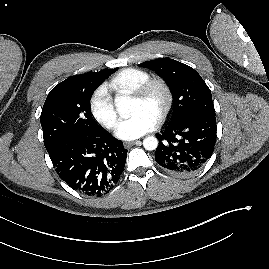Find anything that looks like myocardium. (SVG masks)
Instances as JSON below:
<instances>
[{"label": "myocardium", "mask_w": 269, "mask_h": 269, "mask_svg": "<svg viewBox=\"0 0 269 269\" xmlns=\"http://www.w3.org/2000/svg\"><path fill=\"white\" fill-rule=\"evenodd\" d=\"M156 88L160 89L164 95V103L157 116V122H162L169 114L173 105V92L165 79L161 77H150L132 93V96L137 100H145Z\"/></svg>", "instance_id": "obj_1"}]
</instances>
